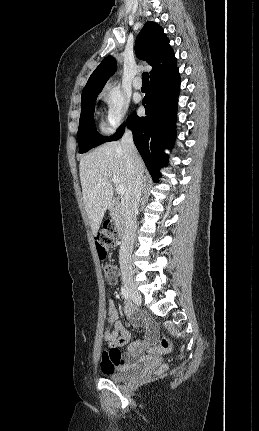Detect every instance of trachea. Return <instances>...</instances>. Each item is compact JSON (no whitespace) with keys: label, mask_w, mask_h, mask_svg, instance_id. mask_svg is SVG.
Listing matches in <instances>:
<instances>
[{"label":"trachea","mask_w":259,"mask_h":431,"mask_svg":"<svg viewBox=\"0 0 259 431\" xmlns=\"http://www.w3.org/2000/svg\"><path fill=\"white\" fill-rule=\"evenodd\" d=\"M142 81H143V84H148L149 83V74L147 72H144L142 74Z\"/></svg>","instance_id":"3493384b"}]
</instances>
